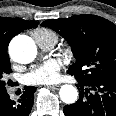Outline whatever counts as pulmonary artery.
<instances>
[{"instance_id": "1", "label": "pulmonary artery", "mask_w": 116, "mask_h": 116, "mask_svg": "<svg viewBox=\"0 0 116 116\" xmlns=\"http://www.w3.org/2000/svg\"><path fill=\"white\" fill-rule=\"evenodd\" d=\"M43 50H50L53 48L54 44L46 43V44H38Z\"/></svg>"}]
</instances>
